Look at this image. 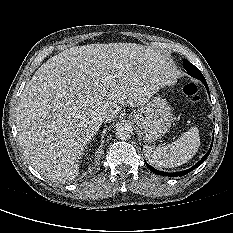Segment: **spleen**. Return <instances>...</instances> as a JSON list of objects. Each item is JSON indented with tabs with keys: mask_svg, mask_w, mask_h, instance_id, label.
I'll use <instances>...</instances> for the list:
<instances>
[{
	"mask_svg": "<svg viewBox=\"0 0 233 233\" xmlns=\"http://www.w3.org/2000/svg\"><path fill=\"white\" fill-rule=\"evenodd\" d=\"M200 147L197 127H191L176 141L164 147L144 145L146 159L157 168H172L188 162Z\"/></svg>",
	"mask_w": 233,
	"mask_h": 233,
	"instance_id": "1",
	"label": "spleen"
}]
</instances>
